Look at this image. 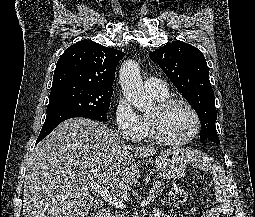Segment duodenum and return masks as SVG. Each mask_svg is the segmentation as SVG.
Here are the masks:
<instances>
[{
    "mask_svg": "<svg viewBox=\"0 0 255 217\" xmlns=\"http://www.w3.org/2000/svg\"><path fill=\"white\" fill-rule=\"evenodd\" d=\"M91 217H105V211L103 209H100L92 213Z\"/></svg>",
    "mask_w": 255,
    "mask_h": 217,
    "instance_id": "duodenum-1",
    "label": "duodenum"
}]
</instances>
